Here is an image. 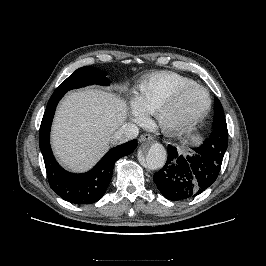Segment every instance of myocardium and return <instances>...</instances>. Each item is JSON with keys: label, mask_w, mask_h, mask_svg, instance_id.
Instances as JSON below:
<instances>
[{"label": "myocardium", "mask_w": 266, "mask_h": 266, "mask_svg": "<svg viewBox=\"0 0 266 266\" xmlns=\"http://www.w3.org/2000/svg\"><path fill=\"white\" fill-rule=\"evenodd\" d=\"M196 88L205 93L206 106L197 115L189 118L175 119L173 118L172 112L175 109L180 98L190 89ZM212 105V99L209 91L202 85L192 83L189 85L182 86L176 89L171 95L165 100L156 113V119L159 126L170 132H182L188 130L198 124L210 111Z\"/></svg>", "instance_id": "1"}]
</instances>
